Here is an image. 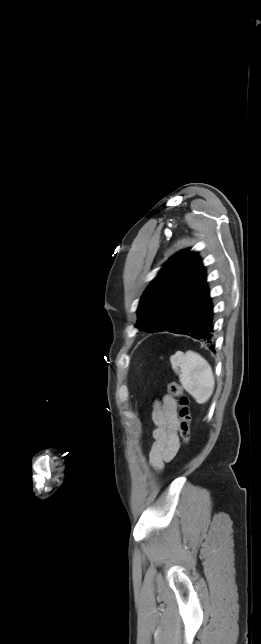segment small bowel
Segmentation results:
<instances>
[{
  "instance_id": "c3829d8e",
  "label": "small bowel",
  "mask_w": 261,
  "mask_h": 644,
  "mask_svg": "<svg viewBox=\"0 0 261 644\" xmlns=\"http://www.w3.org/2000/svg\"><path fill=\"white\" fill-rule=\"evenodd\" d=\"M152 431L153 444L149 452V464L161 471L165 463L170 462L177 454L180 442L178 436L179 419L177 402L174 397L165 395L153 405Z\"/></svg>"
}]
</instances>
